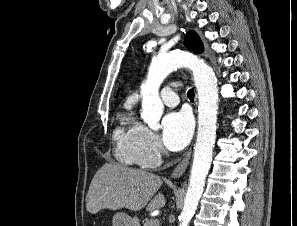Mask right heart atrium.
Returning <instances> with one entry per match:
<instances>
[{
	"label": "right heart atrium",
	"mask_w": 297,
	"mask_h": 226,
	"mask_svg": "<svg viewBox=\"0 0 297 226\" xmlns=\"http://www.w3.org/2000/svg\"><path fill=\"white\" fill-rule=\"evenodd\" d=\"M131 137L134 161L145 168L156 167L164 153L156 133L140 123H135Z\"/></svg>",
	"instance_id": "1"
}]
</instances>
